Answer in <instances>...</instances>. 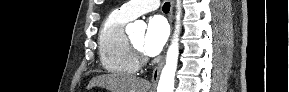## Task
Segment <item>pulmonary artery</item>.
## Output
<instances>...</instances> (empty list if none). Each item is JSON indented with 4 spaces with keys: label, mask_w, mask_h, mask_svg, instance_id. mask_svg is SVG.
<instances>
[{
    "label": "pulmonary artery",
    "mask_w": 289,
    "mask_h": 92,
    "mask_svg": "<svg viewBox=\"0 0 289 92\" xmlns=\"http://www.w3.org/2000/svg\"><path fill=\"white\" fill-rule=\"evenodd\" d=\"M159 7L158 0H132L119 8L126 17L133 19L141 14L156 10Z\"/></svg>",
    "instance_id": "obj_1"
}]
</instances>
